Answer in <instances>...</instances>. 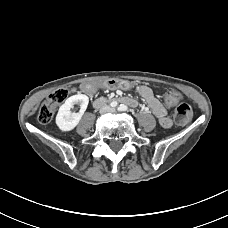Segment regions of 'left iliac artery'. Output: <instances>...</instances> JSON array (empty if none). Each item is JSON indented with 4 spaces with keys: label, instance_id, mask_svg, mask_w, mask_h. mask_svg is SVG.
Here are the masks:
<instances>
[{
    "label": "left iliac artery",
    "instance_id": "left-iliac-artery-1",
    "mask_svg": "<svg viewBox=\"0 0 228 228\" xmlns=\"http://www.w3.org/2000/svg\"><path fill=\"white\" fill-rule=\"evenodd\" d=\"M118 111H127V106L124 105V104H121V105L118 107Z\"/></svg>",
    "mask_w": 228,
    "mask_h": 228
}]
</instances>
